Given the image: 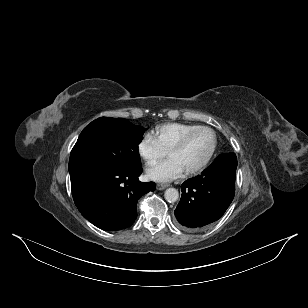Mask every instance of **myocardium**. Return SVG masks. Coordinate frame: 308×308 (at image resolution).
<instances>
[{"mask_svg": "<svg viewBox=\"0 0 308 308\" xmlns=\"http://www.w3.org/2000/svg\"><path fill=\"white\" fill-rule=\"evenodd\" d=\"M202 130L209 131L212 134V137H213L212 148L210 150V153L206 157V159L201 164H199L198 166H196L194 168H191V169H188V170L185 171L186 175L198 174V173L202 172L203 170H205L210 165V163L212 162V160H213V158L215 156V153L217 151V146H218V138H217L216 132L212 128L208 127V126H198V127L194 128V129L186 132L177 142H175L167 150V152L169 154L172 151L179 150V149L183 148L185 146V144L188 142V140L195 133H197L199 131H202Z\"/></svg>", "mask_w": 308, "mask_h": 308, "instance_id": "f54148a6", "label": "myocardium"}]
</instances>
